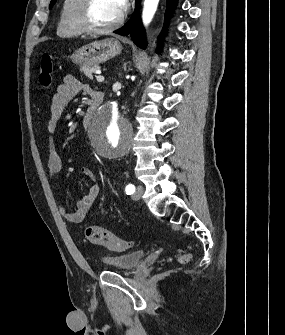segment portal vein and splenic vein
Listing matches in <instances>:
<instances>
[{
	"instance_id": "18ae733b",
	"label": "portal vein and splenic vein",
	"mask_w": 285,
	"mask_h": 335,
	"mask_svg": "<svg viewBox=\"0 0 285 335\" xmlns=\"http://www.w3.org/2000/svg\"><path fill=\"white\" fill-rule=\"evenodd\" d=\"M95 74H101L100 70H94ZM97 82H104V76H96Z\"/></svg>"
}]
</instances>
